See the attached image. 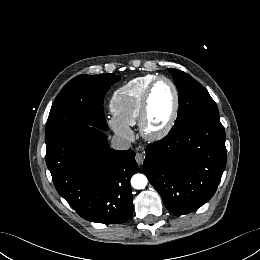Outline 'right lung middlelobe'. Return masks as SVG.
<instances>
[{
	"instance_id": "1",
	"label": "right lung middle lobe",
	"mask_w": 260,
	"mask_h": 260,
	"mask_svg": "<svg viewBox=\"0 0 260 260\" xmlns=\"http://www.w3.org/2000/svg\"><path fill=\"white\" fill-rule=\"evenodd\" d=\"M115 74L79 75L57 95L46 124V152L69 132L92 125L107 130L103 100L110 86L119 81Z\"/></svg>"
}]
</instances>
